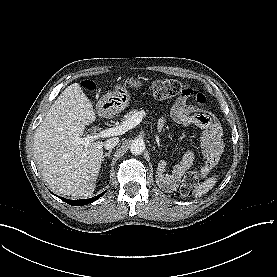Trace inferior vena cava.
Returning <instances> with one entry per match:
<instances>
[{
	"label": "inferior vena cava",
	"instance_id": "602c4592",
	"mask_svg": "<svg viewBox=\"0 0 277 277\" xmlns=\"http://www.w3.org/2000/svg\"><path fill=\"white\" fill-rule=\"evenodd\" d=\"M118 143H119L118 137L109 138L104 142V148L107 150L108 149L110 150V149L114 148L115 146H117Z\"/></svg>",
	"mask_w": 277,
	"mask_h": 277
}]
</instances>
